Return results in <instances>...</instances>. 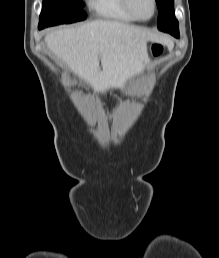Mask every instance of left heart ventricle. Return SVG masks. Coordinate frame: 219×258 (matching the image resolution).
<instances>
[{"label": "left heart ventricle", "mask_w": 219, "mask_h": 258, "mask_svg": "<svg viewBox=\"0 0 219 258\" xmlns=\"http://www.w3.org/2000/svg\"><path fill=\"white\" fill-rule=\"evenodd\" d=\"M135 13L142 18H148L153 12V4L151 0H132Z\"/></svg>", "instance_id": "obj_1"}]
</instances>
